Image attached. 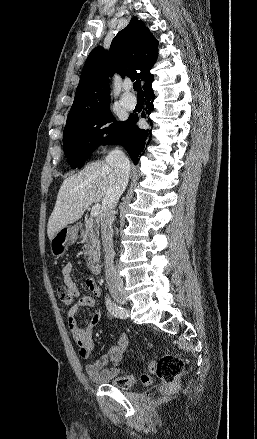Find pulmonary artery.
<instances>
[{
    "label": "pulmonary artery",
    "mask_w": 257,
    "mask_h": 439,
    "mask_svg": "<svg viewBox=\"0 0 257 439\" xmlns=\"http://www.w3.org/2000/svg\"><path fill=\"white\" fill-rule=\"evenodd\" d=\"M119 102L126 109H133L136 106V98L129 92L128 85L123 86Z\"/></svg>",
    "instance_id": "e3ab8cb5"
}]
</instances>
